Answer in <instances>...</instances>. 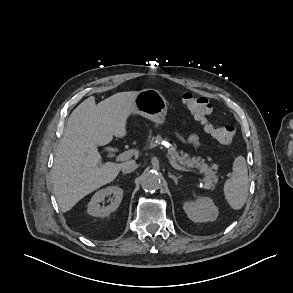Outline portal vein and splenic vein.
Returning <instances> with one entry per match:
<instances>
[{"label":"portal vein and splenic vein","instance_id":"portal-vein-and-splenic-vein-1","mask_svg":"<svg viewBox=\"0 0 293 293\" xmlns=\"http://www.w3.org/2000/svg\"><path fill=\"white\" fill-rule=\"evenodd\" d=\"M136 152H137V150H135V149L127 150V151H125V152L119 154V155L116 157V159H117L118 161H125V160H128V159H130V158H131ZM167 158H168V161H169L170 165H171L174 169H176V170H178V171H183V172H188V171H190V170H188V169H186V168L180 166V165L177 164L176 162H174L169 156H167Z\"/></svg>","mask_w":293,"mask_h":293}]
</instances>
